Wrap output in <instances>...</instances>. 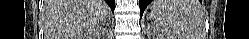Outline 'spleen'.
Instances as JSON below:
<instances>
[{
  "mask_svg": "<svg viewBox=\"0 0 249 39\" xmlns=\"http://www.w3.org/2000/svg\"><path fill=\"white\" fill-rule=\"evenodd\" d=\"M151 17L173 39H204L206 15L198 0H154Z\"/></svg>",
  "mask_w": 249,
  "mask_h": 39,
  "instance_id": "1",
  "label": "spleen"
}]
</instances>
